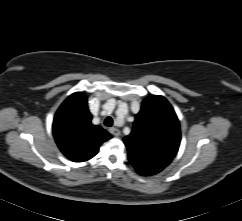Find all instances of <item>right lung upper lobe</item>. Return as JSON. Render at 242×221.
I'll return each mask as SVG.
<instances>
[{
	"mask_svg": "<svg viewBox=\"0 0 242 221\" xmlns=\"http://www.w3.org/2000/svg\"><path fill=\"white\" fill-rule=\"evenodd\" d=\"M87 98L83 93L70 95L59 107L53 121V134L61 152L74 162L94 157L111 135L91 123Z\"/></svg>",
	"mask_w": 242,
	"mask_h": 221,
	"instance_id": "right-lung-upper-lobe-1",
	"label": "right lung upper lobe"
}]
</instances>
